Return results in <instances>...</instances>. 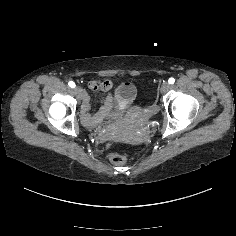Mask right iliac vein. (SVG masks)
I'll return each mask as SVG.
<instances>
[{"instance_id":"1","label":"right iliac vein","mask_w":236,"mask_h":236,"mask_svg":"<svg viewBox=\"0 0 236 236\" xmlns=\"http://www.w3.org/2000/svg\"><path fill=\"white\" fill-rule=\"evenodd\" d=\"M74 92H75V94H76V96H77V98H78L79 100L83 99V97H84V92H83V90H82L81 88L75 87V88H74Z\"/></svg>"}]
</instances>
